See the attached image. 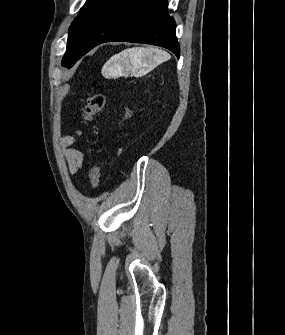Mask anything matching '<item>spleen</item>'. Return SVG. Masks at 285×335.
I'll use <instances>...</instances> for the list:
<instances>
[{
	"mask_svg": "<svg viewBox=\"0 0 285 335\" xmlns=\"http://www.w3.org/2000/svg\"><path fill=\"white\" fill-rule=\"evenodd\" d=\"M128 58H130V64ZM170 58V54L163 52V50H157V48H132V50H124L119 54L120 62L112 66L111 70L120 68L122 64H125V66L129 64L133 70H136V68H155V66L167 62Z\"/></svg>",
	"mask_w": 285,
	"mask_h": 335,
	"instance_id": "3e777b00",
	"label": "spleen"
}]
</instances>
